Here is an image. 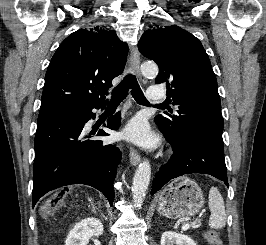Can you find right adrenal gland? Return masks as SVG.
<instances>
[{
    "label": "right adrenal gland",
    "instance_id": "right-adrenal-gland-1",
    "mask_svg": "<svg viewBox=\"0 0 266 245\" xmlns=\"http://www.w3.org/2000/svg\"><path fill=\"white\" fill-rule=\"evenodd\" d=\"M89 203H90V207H91L93 213H97V209H99V207H96V205H94L92 199H89ZM98 205H101V203H99V201H98ZM101 215H102V217H104L105 221H107L105 215H103V213H101Z\"/></svg>",
    "mask_w": 266,
    "mask_h": 245
}]
</instances>
